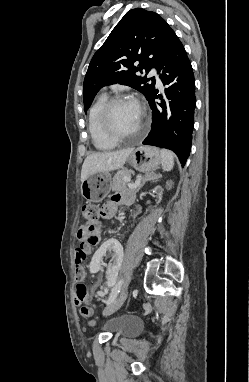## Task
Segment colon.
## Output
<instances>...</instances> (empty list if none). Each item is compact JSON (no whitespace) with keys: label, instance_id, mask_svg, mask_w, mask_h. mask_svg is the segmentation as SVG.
I'll list each match as a JSON object with an SVG mask.
<instances>
[{"label":"colon","instance_id":"5ec220e1","mask_svg":"<svg viewBox=\"0 0 249 382\" xmlns=\"http://www.w3.org/2000/svg\"><path fill=\"white\" fill-rule=\"evenodd\" d=\"M99 212H100L99 208L93 204H85L82 207V214L87 224H92L97 219ZM88 251H89L88 247L86 248L77 247L75 250L76 262H77V264L74 265V270L76 271L75 278L79 280V283L77 284V287H76V298L85 299L87 296V287L82 282L84 277V272L81 267V263L86 259ZM87 312H88L87 308H84L82 310L83 314H87Z\"/></svg>","mask_w":249,"mask_h":382}]
</instances>
